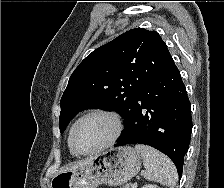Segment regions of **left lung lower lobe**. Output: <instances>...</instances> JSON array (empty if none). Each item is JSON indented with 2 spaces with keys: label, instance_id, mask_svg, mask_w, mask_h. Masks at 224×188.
<instances>
[{
  "label": "left lung lower lobe",
  "instance_id": "obj_1",
  "mask_svg": "<svg viewBox=\"0 0 224 188\" xmlns=\"http://www.w3.org/2000/svg\"><path fill=\"white\" fill-rule=\"evenodd\" d=\"M131 112L115 147L133 143L152 146L173 161L181 177L192 117L186 89L174 62L144 85Z\"/></svg>",
  "mask_w": 224,
  "mask_h": 188
}]
</instances>
